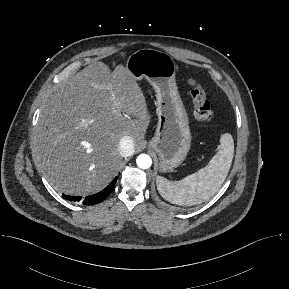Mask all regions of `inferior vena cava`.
Returning a JSON list of instances; mask_svg holds the SVG:
<instances>
[{
	"label": "inferior vena cava",
	"instance_id": "1",
	"mask_svg": "<svg viewBox=\"0 0 289 289\" xmlns=\"http://www.w3.org/2000/svg\"><path fill=\"white\" fill-rule=\"evenodd\" d=\"M119 151L123 157L130 156L134 153L133 140L129 136H124L119 142Z\"/></svg>",
	"mask_w": 289,
	"mask_h": 289
}]
</instances>
